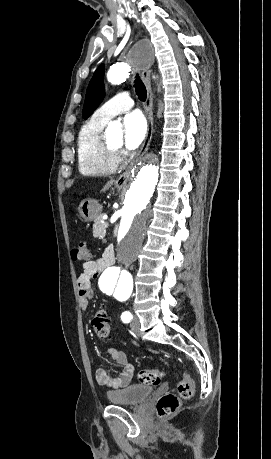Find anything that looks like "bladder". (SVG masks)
Listing matches in <instances>:
<instances>
[{
  "mask_svg": "<svg viewBox=\"0 0 271 459\" xmlns=\"http://www.w3.org/2000/svg\"><path fill=\"white\" fill-rule=\"evenodd\" d=\"M153 388V385L135 384L108 392L107 399L114 404L140 405L153 393Z\"/></svg>",
  "mask_w": 271,
  "mask_h": 459,
  "instance_id": "1",
  "label": "bladder"
}]
</instances>
